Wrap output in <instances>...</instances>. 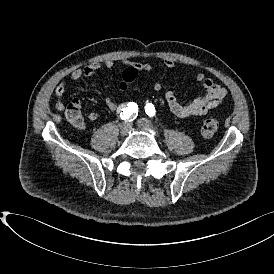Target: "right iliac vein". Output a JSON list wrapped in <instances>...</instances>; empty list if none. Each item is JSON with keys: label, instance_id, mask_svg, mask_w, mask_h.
Segmentation results:
<instances>
[{"label": "right iliac vein", "instance_id": "obj_1", "mask_svg": "<svg viewBox=\"0 0 274 274\" xmlns=\"http://www.w3.org/2000/svg\"><path fill=\"white\" fill-rule=\"evenodd\" d=\"M119 128H120V134L122 136H125L127 135V133L130 131L131 129V123H129L128 121L126 122H123L119 125Z\"/></svg>", "mask_w": 274, "mask_h": 274}]
</instances>
